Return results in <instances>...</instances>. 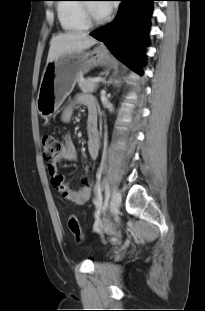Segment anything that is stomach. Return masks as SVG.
I'll return each instance as SVG.
<instances>
[{"mask_svg": "<svg viewBox=\"0 0 205 311\" xmlns=\"http://www.w3.org/2000/svg\"><path fill=\"white\" fill-rule=\"evenodd\" d=\"M110 61L106 50L96 48L91 52L66 54L57 61L47 63L36 100L39 114L44 118L51 117L72 92L78 77L92 67Z\"/></svg>", "mask_w": 205, "mask_h": 311, "instance_id": "1", "label": "stomach"}]
</instances>
